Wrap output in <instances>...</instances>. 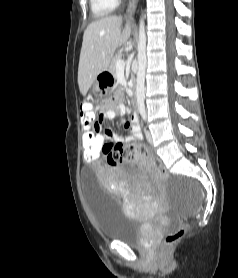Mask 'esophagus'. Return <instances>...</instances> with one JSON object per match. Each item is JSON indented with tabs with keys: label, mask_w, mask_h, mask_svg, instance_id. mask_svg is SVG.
<instances>
[{
	"label": "esophagus",
	"mask_w": 238,
	"mask_h": 278,
	"mask_svg": "<svg viewBox=\"0 0 238 278\" xmlns=\"http://www.w3.org/2000/svg\"><path fill=\"white\" fill-rule=\"evenodd\" d=\"M138 0H130L128 4V15L129 17H132V15L135 12L136 6H137Z\"/></svg>",
	"instance_id": "obj_1"
}]
</instances>
